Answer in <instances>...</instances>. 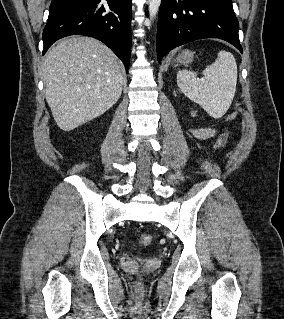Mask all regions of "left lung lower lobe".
Masks as SVG:
<instances>
[{"label":"left lung lower lobe","mask_w":284,"mask_h":319,"mask_svg":"<svg viewBox=\"0 0 284 319\" xmlns=\"http://www.w3.org/2000/svg\"><path fill=\"white\" fill-rule=\"evenodd\" d=\"M232 0H162L158 16L157 58L177 46L202 38H219L243 49Z\"/></svg>","instance_id":"obj_1"}]
</instances>
